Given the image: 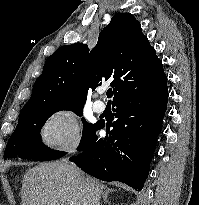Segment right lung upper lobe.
Returning <instances> with one entry per match:
<instances>
[{
    "mask_svg": "<svg viewBox=\"0 0 199 205\" xmlns=\"http://www.w3.org/2000/svg\"><path fill=\"white\" fill-rule=\"evenodd\" d=\"M162 70V62L140 23L130 13H116L90 52L86 44L75 43L60 47L48 57L27 103L84 104L88 91L106 81L111 82L115 99L134 81Z\"/></svg>",
    "mask_w": 199,
    "mask_h": 205,
    "instance_id": "obj_1",
    "label": "right lung upper lobe"
}]
</instances>
